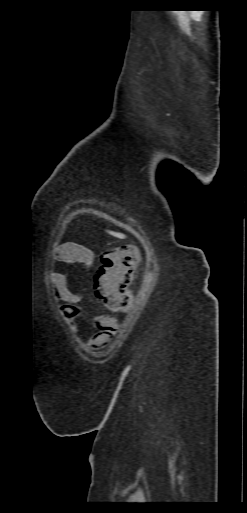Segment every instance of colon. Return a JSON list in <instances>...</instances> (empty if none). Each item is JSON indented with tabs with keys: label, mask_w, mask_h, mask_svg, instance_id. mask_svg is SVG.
<instances>
[{
	"label": "colon",
	"mask_w": 247,
	"mask_h": 513,
	"mask_svg": "<svg viewBox=\"0 0 247 513\" xmlns=\"http://www.w3.org/2000/svg\"><path fill=\"white\" fill-rule=\"evenodd\" d=\"M137 266L138 253L131 245L110 248L100 256L93 289L108 310L118 312L129 306Z\"/></svg>",
	"instance_id": "obj_1"
}]
</instances>
